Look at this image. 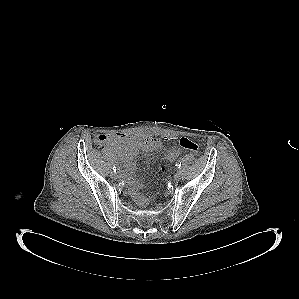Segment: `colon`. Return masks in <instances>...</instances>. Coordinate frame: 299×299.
I'll use <instances>...</instances> for the list:
<instances>
[{
    "instance_id": "5ec220e1",
    "label": "colon",
    "mask_w": 299,
    "mask_h": 299,
    "mask_svg": "<svg viewBox=\"0 0 299 299\" xmlns=\"http://www.w3.org/2000/svg\"><path fill=\"white\" fill-rule=\"evenodd\" d=\"M109 136V135H108ZM107 139V137H99L98 139V144L100 146H102L103 141H105ZM179 144L182 148L194 153V154H198L199 153V146L198 144L191 140L188 137H182L179 141ZM144 202H146V199H143Z\"/></svg>"
}]
</instances>
